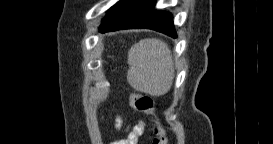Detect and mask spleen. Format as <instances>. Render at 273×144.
Segmentation results:
<instances>
[{
	"label": "spleen",
	"instance_id": "obj_1",
	"mask_svg": "<svg viewBox=\"0 0 273 144\" xmlns=\"http://www.w3.org/2000/svg\"><path fill=\"white\" fill-rule=\"evenodd\" d=\"M129 84L152 96L166 94L173 82L174 67L168 45L156 38L135 43L128 52Z\"/></svg>",
	"mask_w": 273,
	"mask_h": 144
}]
</instances>
